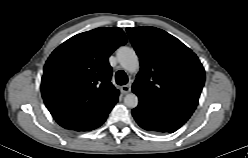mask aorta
<instances>
[{
	"instance_id": "obj_1",
	"label": "aorta",
	"mask_w": 248,
	"mask_h": 158,
	"mask_svg": "<svg viewBox=\"0 0 248 158\" xmlns=\"http://www.w3.org/2000/svg\"><path fill=\"white\" fill-rule=\"evenodd\" d=\"M117 58L120 65L129 73H135L139 69V60L133 48L123 46L117 50ZM139 99L136 94L129 93L124 97V104L129 108L137 107Z\"/></svg>"
}]
</instances>
